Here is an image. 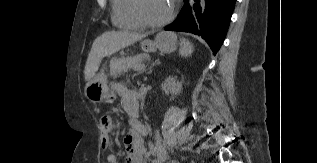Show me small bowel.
<instances>
[{
	"label": "small bowel",
	"instance_id": "c3829d8e",
	"mask_svg": "<svg viewBox=\"0 0 317 163\" xmlns=\"http://www.w3.org/2000/svg\"><path fill=\"white\" fill-rule=\"evenodd\" d=\"M115 94L120 97L122 107L130 114L131 118L129 124L131 131L125 136L124 144L126 149V162L125 163H161L158 158L151 157V150L154 154H158L159 149L156 147L147 149L144 144V136L147 135L145 126L137 119L139 112V96L138 94L128 89L122 84H117L115 87ZM113 121L110 117H104L100 121L101 131V148L109 151L107 156L108 163H118L117 156L113 151V144L111 140V131ZM162 157V155H160ZM163 159V157H162Z\"/></svg>",
	"mask_w": 317,
	"mask_h": 163
}]
</instances>
